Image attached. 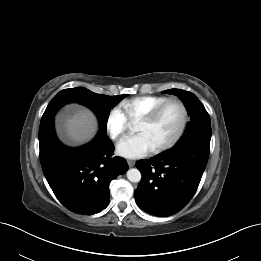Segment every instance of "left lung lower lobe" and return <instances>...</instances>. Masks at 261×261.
<instances>
[{
	"label": "left lung lower lobe",
	"instance_id": "obj_1",
	"mask_svg": "<svg viewBox=\"0 0 261 261\" xmlns=\"http://www.w3.org/2000/svg\"><path fill=\"white\" fill-rule=\"evenodd\" d=\"M209 149L210 141L192 139L163 154L137 161L136 167L142 174L134 193L138 206L159 217L184 208L198 188Z\"/></svg>",
	"mask_w": 261,
	"mask_h": 261
}]
</instances>
